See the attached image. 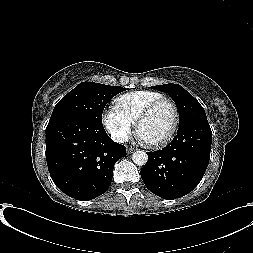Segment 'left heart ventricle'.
Returning <instances> with one entry per match:
<instances>
[{"mask_svg": "<svg viewBox=\"0 0 253 253\" xmlns=\"http://www.w3.org/2000/svg\"><path fill=\"white\" fill-rule=\"evenodd\" d=\"M174 122V112L168 103L156 107L143 121L139 134L147 143H155L163 139L171 130Z\"/></svg>", "mask_w": 253, "mask_h": 253, "instance_id": "left-heart-ventricle-1", "label": "left heart ventricle"}]
</instances>
